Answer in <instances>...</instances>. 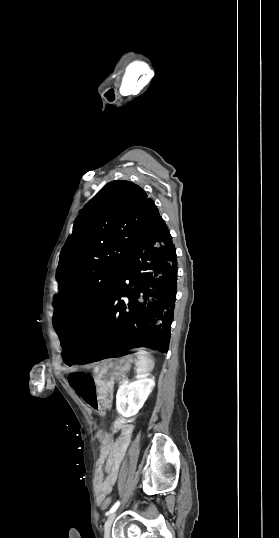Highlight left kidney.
<instances>
[{"instance_id": "5707ae66", "label": "left kidney", "mask_w": 279, "mask_h": 538, "mask_svg": "<svg viewBox=\"0 0 279 538\" xmlns=\"http://www.w3.org/2000/svg\"><path fill=\"white\" fill-rule=\"evenodd\" d=\"M136 378V382L119 386L117 392L116 410L124 418L138 414L155 386L154 378H147V374H138Z\"/></svg>"}]
</instances>
